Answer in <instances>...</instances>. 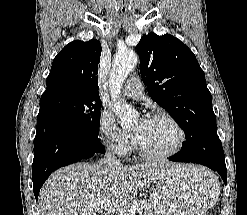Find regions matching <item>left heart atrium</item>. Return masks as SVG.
Segmentation results:
<instances>
[{
    "label": "left heart atrium",
    "mask_w": 247,
    "mask_h": 215,
    "mask_svg": "<svg viewBox=\"0 0 247 215\" xmlns=\"http://www.w3.org/2000/svg\"><path fill=\"white\" fill-rule=\"evenodd\" d=\"M148 121H149V119H144V120H142V124L145 125Z\"/></svg>",
    "instance_id": "39dd6f15"
}]
</instances>
